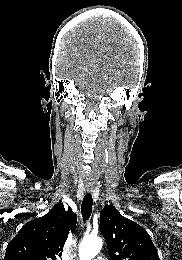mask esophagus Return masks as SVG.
I'll return each instance as SVG.
<instances>
[{
    "instance_id": "esophagus-1",
    "label": "esophagus",
    "mask_w": 182,
    "mask_h": 260,
    "mask_svg": "<svg viewBox=\"0 0 182 260\" xmlns=\"http://www.w3.org/2000/svg\"><path fill=\"white\" fill-rule=\"evenodd\" d=\"M92 190H91V188H87V192H91Z\"/></svg>"
}]
</instances>
